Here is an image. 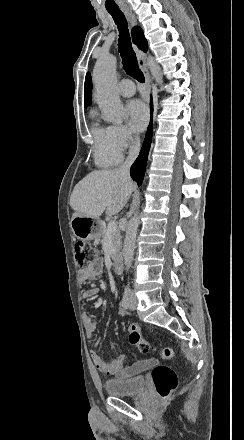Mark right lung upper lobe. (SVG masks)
Here are the masks:
<instances>
[{
    "mask_svg": "<svg viewBox=\"0 0 244 440\" xmlns=\"http://www.w3.org/2000/svg\"><path fill=\"white\" fill-rule=\"evenodd\" d=\"M133 43L136 44L144 52L148 49L147 40L144 37L143 31L140 27H134L132 29ZM92 81L90 73L86 74L85 87H84V106L87 107L91 102Z\"/></svg>",
    "mask_w": 244,
    "mask_h": 440,
    "instance_id": "right-lung-upper-lobe-1",
    "label": "right lung upper lobe"
}]
</instances>
